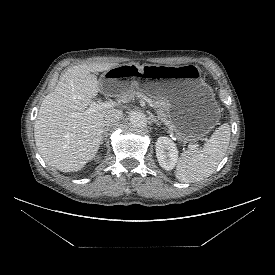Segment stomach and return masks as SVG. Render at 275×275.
I'll return each mask as SVG.
<instances>
[{"label":"stomach","instance_id":"1","mask_svg":"<svg viewBox=\"0 0 275 275\" xmlns=\"http://www.w3.org/2000/svg\"><path fill=\"white\" fill-rule=\"evenodd\" d=\"M100 86L118 95L139 89L167 101L172 131L179 141H199L220 119L214 93L194 64H123L105 71Z\"/></svg>","mask_w":275,"mask_h":275}]
</instances>
